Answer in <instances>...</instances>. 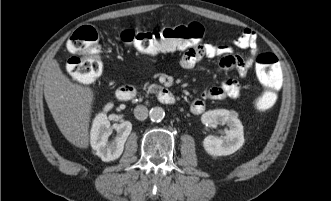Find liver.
Here are the masks:
<instances>
[{"mask_svg":"<svg viewBox=\"0 0 331 201\" xmlns=\"http://www.w3.org/2000/svg\"><path fill=\"white\" fill-rule=\"evenodd\" d=\"M43 80L45 100L59 130L71 144L88 148L92 89L71 82L55 59L45 65Z\"/></svg>","mask_w":331,"mask_h":201,"instance_id":"1","label":"liver"}]
</instances>
